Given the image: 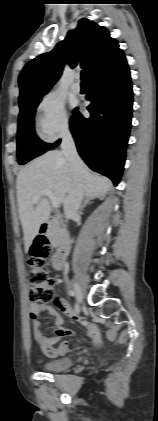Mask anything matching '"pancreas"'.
I'll use <instances>...</instances> for the list:
<instances>
[{
  "label": "pancreas",
  "instance_id": "obj_1",
  "mask_svg": "<svg viewBox=\"0 0 158 421\" xmlns=\"http://www.w3.org/2000/svg\"><path fill=\"white\" fill-rule=\"evenodd\" d=\"M64 232L57 222H52L48 230V238L52 247H57L63 237Z\"/></svg>",
  "mask_w": 158,
  "mask_h": 421
}]
</instances>
